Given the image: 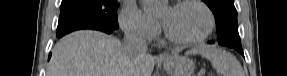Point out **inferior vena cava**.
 Listing matches in <instances>:
<instances>
[{
  "label": "inferior vena cava",
  "mask_w": 287,
  "mask_h": 76,
  "mask_svg": "<svg viewBox=\"0 0 287 76\" xmlns=\"http://www.w3.org/2000/svg\"><path fill=\"white\" fill-rule=\"evenodd\" d=\"M124 33V54L129 59H135L145 56L148 50V46L141 29L136 25H128L124 28Z\"/></svg>",
  "instance_id": "602c4592"
}]
</instances>
